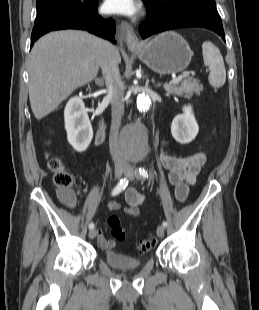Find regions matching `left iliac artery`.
Wrapping results in <instances>:
<instances>
[{
    "label": "left iliac artery",
    "instance_id": "1",
    "mask_svg": "<svg viewBox=\"0 0 259 310\" xmlns=\"http://www.w3.org/2000/svg\"><path fill=\"white\" fill-rule=\"evenodd\" d=\"M135 175H136V177L137 178H148V172H147V170L145 169V168H139V170H136V172H135ZM162 225L164 226V227H166L167 226V222H163L162 223Z\"/></svg>",
    "mask_w": 259,
    "mask_h": 310
}]
</instances>
